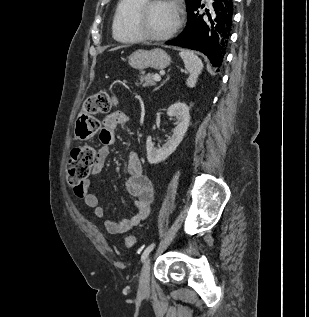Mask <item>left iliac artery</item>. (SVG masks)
I'll return each instance as SVG.
<instances>
[{
  "label": "left iliac artery",
  "instance_id": "obj_1",
  "mask_svg": "<svg viewBox=\"0 0 309 317\" xmlns=\"http://www.w3.org/2000/svg\"><path fill=\"white\" fill-rule=\"evenodd\" d=\"M155 243H152L151 245H149L143 252L142 256H141V261H145V259L148 257L149 253L152 251V249L154 248Z\"/></svg>",
  "mask_w": 309,
  "mask_h": 317
}]
</instances>
